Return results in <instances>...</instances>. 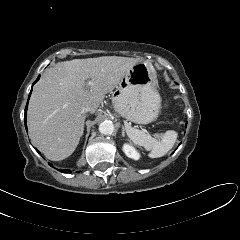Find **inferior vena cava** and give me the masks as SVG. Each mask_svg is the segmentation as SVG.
I'll return each mask as SVG.
<instances>
[{
  "instance_id": "1",
  "label": "inferior vena cava",
  "mask_w": 240,
  "mask_h": 240,
  "mask_svg": "<svg viewBox=\"0 0 240 240\" xmlns=\"http://www.w3.org/2000/svg\"><path fill=\"white\" fill-rule=\"evenodd\" d=\"M91 107H89V106H84V107H82V109H81V113L82 114H84V113H87V112H91Z\"/></svg>"
}]
</instances>
